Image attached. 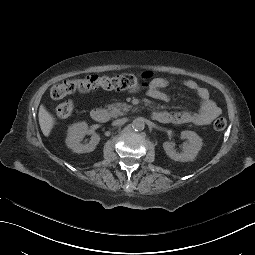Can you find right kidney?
Instances as JSON below:
<instances>
[{"label":"right kidney","instance_id":"right-kidney-1","mask_svg":"<svg viewBox=\"0 0 255 255\" xmlns=\"http://www.w3.org/2000/svg\"><path fill=\"white\" fill-rule=\"evenodd\" d=\"M85 135H91V140L86 144H81ZM100 142V136L95 131L88 128L86 123H78L70 128L69 136L67 137V145L75 153H90L95 150Z\"/></svg>","mask_w":255,"mask_h":255}]
</instances>
